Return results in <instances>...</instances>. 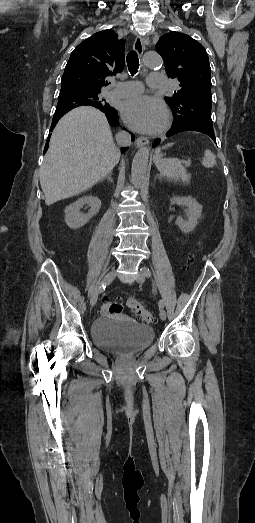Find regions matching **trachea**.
<instances>
[{
  "label": "trachea",
  "mask_w": 255,
  "mask_h": 523,
  "mask_svg": "<svg viewBox=\"0 0 255 523\" xmlns=\"http://www.w3.org/2000/svg\"><path fill=\"white\" fill-rule=\"evenodd\" d=\"M128 70L131 73V75H134L137 73V70L139 68V59L138 55L135 51H131L128 53L126 58Z\"/></svg>",
  "instance_id": "3493384b"
}]
</instances>
